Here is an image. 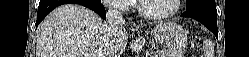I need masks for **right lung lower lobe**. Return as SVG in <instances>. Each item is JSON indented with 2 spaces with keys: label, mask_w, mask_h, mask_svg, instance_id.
<instances>
[{
  "label": "right lung lower lobe",
  "mask_w": 249,
  "mask_h": 57,
  "mask_svg": "<svg viewBox=\"0 0 249 57\" xmlns=\"http://www.w3.org/2000/svg\"><path fill=\"white\" fill-rule=\"evenodd\" d=\"M66 3H76L88 7L89 9L95 11L98 15H100L103 19L106 20L105 8L101 4V2H96L92 0H40L36 27L54 8Z\"/></svg>",
  "instance_id": "98d812e1"
}]
</instances>
